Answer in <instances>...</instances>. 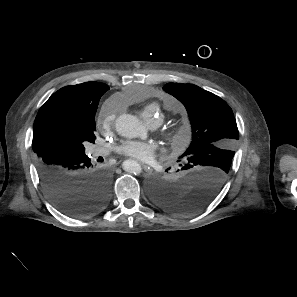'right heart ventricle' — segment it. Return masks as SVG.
Returning <instances> with one entry per match:
<instances>
[{
  "label": "right heart ventricle",
  "instance_id": "obj_1",
  "mask_svg": "<svg viewBox=\"0 0 297 297\" xmlns=\"http://www.w3.org/2000/svg\"><path fill=\"white\" fill-rule=\"evenodd\" d=\"M159 105H160V103H152V104L145 106L141 110V116L147 123L155 124L160 121L161 117L156 116V112H157ZM162 105H164L167 108H170V103L167 100L163 101Z\"/></svg>",
  "mask_w": 297,
  "mask_h": 297
}]
</instances>
